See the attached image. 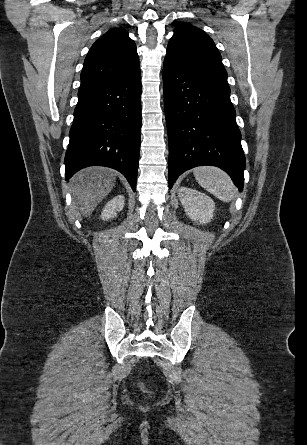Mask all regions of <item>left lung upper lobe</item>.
<instances>
[{
	"label": "left lung upper lobe",
	"mask_w": 307,
	"mask_h": 445,
	"mask_svg": "<svg viewBox=\"0 0 307 445\" xmlns=\"http://www.w3.org/2000/svg\"><path fill=\"white\" fill-rule=\"evenodd\" d=\"M165 59L201 82L230 92L221 55L203 30L179 24L169 40Z\"/></svg>",
	"instance_id": "obj_1"
}]
</instances>
